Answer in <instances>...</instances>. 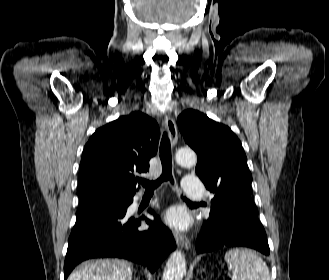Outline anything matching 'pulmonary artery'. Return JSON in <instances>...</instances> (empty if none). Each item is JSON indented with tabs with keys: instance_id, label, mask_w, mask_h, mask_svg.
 <instances>
[{
	"instance_id": "pulmonary-artery-1",
	"label": "pulmonary artery",
	"mask_w": 329,
	"mask_h": 280,
	"mask_svg": "<svg viewBox=\"0 0 329 280\" xmlns=\"http://www.w3.org/2000/svg\"><path fill=\"white\" fill-rule=\"evenodd\" d=\"M182 189L192 199H200L204 190L200 179L194 175H187L183 179Z\"/></svg>"
}]
</instances>
